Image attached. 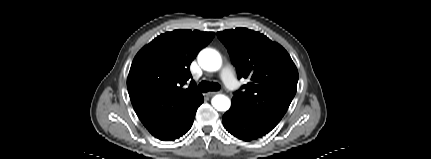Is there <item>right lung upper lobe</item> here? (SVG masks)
Masks as SVG:
<instances>
[{"instance_id":"cb5924a9","label":"right lung upper lobe","mask_w":431,"mask_h":159,"mask_svg":"<svg viewBox=\"0 0 431 159\" xmlns=\"http://www.w3.org/2000/svg\"><path fill=\"white\" fill-rule=\"evenodd\" d=\"M213 32L174 30L161 34L135 56L127 88L136 114L155 137L165 134L201 94L189 67Z\"/></svg>"}]
</instances>
